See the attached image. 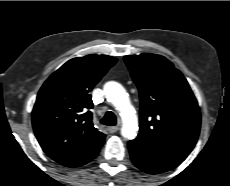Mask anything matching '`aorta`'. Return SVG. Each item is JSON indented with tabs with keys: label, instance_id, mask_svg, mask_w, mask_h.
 Returning <instances> with one entry per match:
<instances>
[{
	"label": "aorta",
	"instance_id": "obj_1",
	"mask_svg": "<svg viewBox=\"0 0 230 186\" xmlns=\"http://www.w3.org/2000/svg\"><path fill=\"white\" fill-rule=\"evenodd\" d=\"M104 92L107 100L120 112L123 119L121 135L126 139H134L139 127L128 93L121 84L114 81L104 85Z\"/></svg>",
	"mask_w": 230,
	"mask_h": 186
}]
</instances>
